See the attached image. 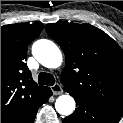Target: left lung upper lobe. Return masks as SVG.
Segmentation results:
<instances>
[{"label":"left lung upper lobe","mask_w":123,"mask_h":123,"mask_svg":"<svg viewBox=\"0 0 123 123\" xmlns=\"http://www.w3.org/2000/svg\"><path fill=\"white\" fill-rule=\"evenodd\" d=\"M65 54L64 90L73 97L123 110V51L90 24L52 23L45 27Z\"/></svg>","instance_id":"5c2ea615"}]
</instances>
